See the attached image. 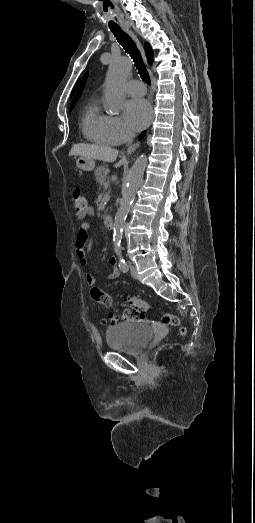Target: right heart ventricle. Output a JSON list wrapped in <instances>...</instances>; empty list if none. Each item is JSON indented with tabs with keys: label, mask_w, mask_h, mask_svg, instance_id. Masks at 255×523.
Returning <instances> with one entry per match:
<instances>
[{
	"label": "right heart ventricle",
	"mask_w": 255,
	"mask_h": 523,
	"mask_svg": "<svg viewBox=\"0 0 255 523\" xmlns=\"http://www.w3.org/2000/svg\"><path fill=\"white\" fill-rule=\"evenodd\" d=\"M84 137L96 145H114L119 136L113 126V117L105 113L97 101L86 107L82 121Z\"/></svg>",
	"instance_id": "obj_1"
}]
</instances>
